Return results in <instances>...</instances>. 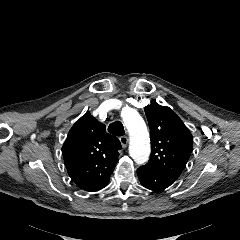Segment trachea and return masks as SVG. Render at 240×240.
Returning a JSON list of instances; mask_svg holds the SVG:
<instances>
[{"label": "trachea", "instance_id": "trachea-1", "mask_svg": "<svg viewBox=\"0 0 240 240\" xmlns=\"http://www.w3.org/2000/svg\"><path fill=\"white\" fill-rule=\"evenodd\" d=\"M108 131L115 136L125 135L123 124L120 121H115L111 123L108 127Z\"/></svg>", "mask_w": 240, "mask_h": 240}]
</instances>
